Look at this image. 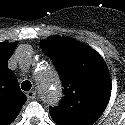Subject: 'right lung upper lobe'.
Masks as SVG:
<instances>
[{
	"label": "right lung upper lobe",
	"mask_w": 125,
	"mask_h": 125,
	"mask_svg": "<svg viewBox=\"0 0 125 125\" xmlns=\"http://www.w3.org/2000/svg\"><path fill=\"white\" fill-rule=\"evenodd\" d=\"M17 44L0 43V125L12 123L26 101L16 75L7 66Z\"/></svg>",
	"instance_id": "right-lung-upper-lobe-1"
}]
</instances>
